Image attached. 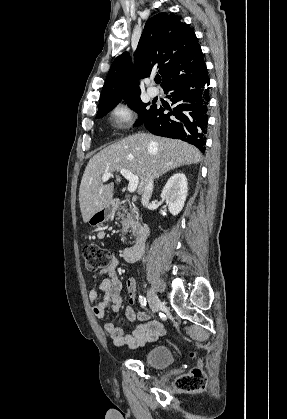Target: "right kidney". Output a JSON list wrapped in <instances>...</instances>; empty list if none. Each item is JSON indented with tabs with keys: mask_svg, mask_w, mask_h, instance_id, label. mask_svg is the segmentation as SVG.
<instances>
[{
	"mask_svg": "<svg viewBox=\"0 0 287 419\" xmlns=\"http://www.w3.org/2000/svg\"><path fill=\"white\" fill-rule=\"evenodd\" d=\"M187 192V178L183 173L174 174L169 178L161 192V198L165 200L172 215H178L183 209Z\"/></svg>",
	"mask_w": 287,
	"mask_h": 419,
	"instance_id": "right-kidney-1",
	"label": "right kidney"
}]
</instances>
